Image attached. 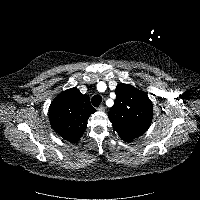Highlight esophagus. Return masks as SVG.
Listing matches in <instances>:
<instances>
[{
  "label": "esophagus",
  "instance_id": "34e87169",
  "mask_svg": "<svg viewBox=\"0 0 200 200\" xmlns=\"http://www.w3.org/2000/svg\"><path fill=\"white\" fill-rule=\"evenodd\" d=\"M98 110L101 111V112H102V111H105V106H104V105H100V106L98 107Z\"/></svg>",
  "mask_w": 200,
  "mask_h": 200
}]
</instances>
